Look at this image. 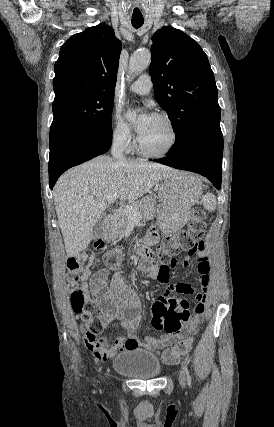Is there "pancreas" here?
I'll return each instance as SVG.
<instances>
[{
	"mask_svg": "<svg viewBox=\"0 0 274 427\" xmlns=\"http://www.w3.org/2000/svg\"><path fill=\"white\" fill-rule=\"evenodd\" d=\"M131 206L139 212L142 221L154 219L157 214V210L155 208L156 198H152V196H146V198H141V200H137V202H132ZM128 221V215H126L124 210L117 212V214L110 219L109 225H105V239H117L118 235L124 233L126 227H128Z\"/></svg>",
	"mask_w": 274,
	"mask_h": 427,
	"instance_id": "1",
	"label": "pancreas"
}]
</instances>
